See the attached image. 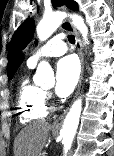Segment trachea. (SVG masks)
<instances>
[{
	"mask_svg": "<svg viewBox=\"0 0 114 156\" xmlns=\"http://www.w3.org/2000/svg\"><path fill=\"white\" fill-rule=\"evenodd\" d=\"M68 40L70 43H75V37L73 35H68Z\"/></svg>",
	"mask_w": 114,
	"mask_h": 156,
	"instance_id": "1",
	"label": "trachea"
}]
</instances>
